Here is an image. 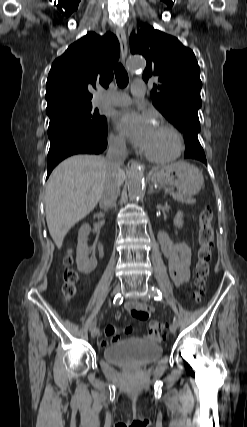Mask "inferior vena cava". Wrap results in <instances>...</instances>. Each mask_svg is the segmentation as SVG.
<instances>
[{"instance_id": "1", "label": "inferior vena cava", "mask_w": 247, "mask_h": 427, "mask_svg": "<svg viewBox=\"0 0 247 427\" xmlns=\"http://www.w3.org/2000/svg\"><path fill=\"white\" fill-rule=\"evenodd\" d=\"M106 155L107 176L100 195V207L108 210L115 205L120 193V182L117 174L127 156L126 144L122 139H112L108 142Z\"/></svg>"}]
</instances>
